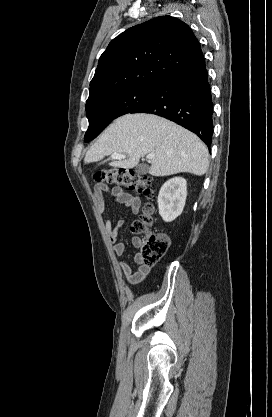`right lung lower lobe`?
Here are the masks:
<instances>
[{
	"instance_id": "98d812e1",
	"label": "right lung lower lobe",
	"mask_w": 272,
	"mask_h": 417,
	"mask_svg": "<svg viewBox=\"0 0 272 417\" xmlns=\"http://www.w3.org/2000/svg\"><path fill=\"white\" fill-rule=\"evenodd\" d=\"M132 113H152L174 121L210 147L213 102L203 55L168 76Z\"/></svg>"
}]
</instances>
